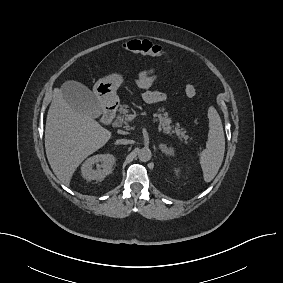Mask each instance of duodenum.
<instances>
[{"mask_svg":"<svg viewBox=\"0 0 283 283\" xmlns=\"http://www.w3.org/2000/svg\"><path fill=\"white\" fill-rule=\"evenodd\" d=\"M115 116V108L113 106H107L105 107L102 115V122L104 124H110Z\"/></svg>","mask_w":283,"mask_h":283,"instance_id":"duodenum-1","label":"duodenum"}]
</instances>
